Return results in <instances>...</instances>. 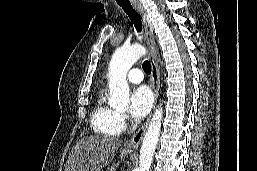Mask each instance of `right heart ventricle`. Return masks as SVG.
<instances>
[{
    "label": "right heart ventricle",
    "mask_w": 257,
    "mask_h": 171,
    "mask_svg": "<svg viewBox=\"0 0 257 171\" xmlns=\"http://www.w3.org/2000/svg\"><path fill=\"white\" fill-rule=\"evenodd\" d=\"M90 124L93 131L100 135L117 136L122 132L119 113L107 103L103 93L94 104Z\"/></svg>",
    "instance_id": "obj_1"
}]
</instances>
